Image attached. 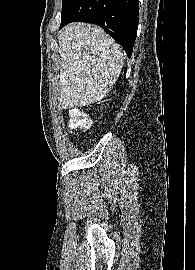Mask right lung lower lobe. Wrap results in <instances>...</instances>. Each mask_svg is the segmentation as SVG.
I'll return each instance as SVG.
<instances>
[{
	"label": "right lung lower lobe",
	"mask_w": 195,
	"mask_h": 270,
	"mask_svg": "<svg viewBox=\"0 0 195 270\" xmlns=\"http://www.w3.org/2000/svg\"><path fill=\"white\" fill-rule=\"evenodd\" d=\"M138 14V0H73L62 12L60 28L74 21L99 25L130 57L138 29Z\"/></svg>",
	"instance_id": "obj_1"
}]
</instances>
